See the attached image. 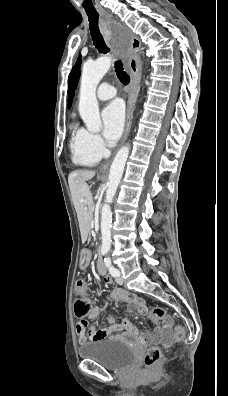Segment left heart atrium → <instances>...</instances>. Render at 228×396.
Here are the masks:
<instances>
[{
	"instance_id": "obj_1",
	"label": "left heart atrium",
	"mask_w": 228,
	"mask_h": 396,
	"mask_svg": "<svg viewBox=\"0 0 228 396\" xmlns=\"http://www.w3.org/2000/svg\"><path fill=\"white\" fill-rule=\"evenodd\" d=\"M103 134L109 143H115L122 134L125 122L124 105L116 100L107 105L102 112Z\"/></svg>"
}]
</instances>
